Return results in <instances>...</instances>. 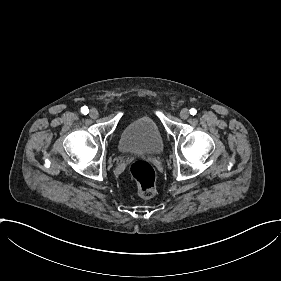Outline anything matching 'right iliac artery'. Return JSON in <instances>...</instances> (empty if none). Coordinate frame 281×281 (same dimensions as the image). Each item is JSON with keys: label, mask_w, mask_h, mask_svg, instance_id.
<instances>
[{"label": "right iliac artery", "mask_w": 281, "mask_h": 281, "mask_svg": "<svg viewBox=\"0 0 281 281\" xmlns=\"http://www.w3.org/2000/svg\"><path fill=\"white\" fill-rule=\"evenodd\" d=\"M81 112H82L84 115H87V114L89 113L88 107H87V106H83V107L81 108Z\"/></svg>", "instance_id": "obj_1"}]
</instances>
